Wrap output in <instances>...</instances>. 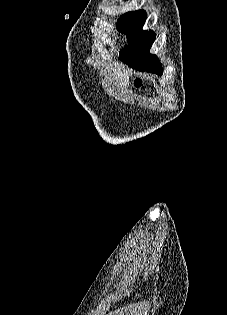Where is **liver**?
<instances>
[{
  "label": "liver",
  "instance_id": "liver-1",
  "mask_svg": "<svg viewBox=\"0 0 227 315\" xmlns=\"http://www.w3.org/2000/svg\"><path fill=\"white\" fill-rule=\"evenodd\" d=\"M114 74L116 80L119 81L124 89H126L129 84V77L131 73L123 69V66H121L120 68L114 70Z\"/></svg>",
  "mask_w": 227,
  "mask_h": 315
}]
</instances>
